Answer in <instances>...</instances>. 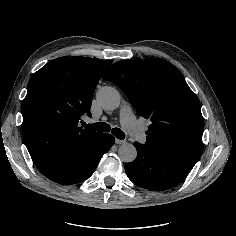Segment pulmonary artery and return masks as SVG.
<instances>
[{"label":"pulmonary artery","mask_w":236,"mask_h":236,"mask_svg":"<svg viewBox=\"0 0 236 236\" xmlns=\"http://www.w3.org/2000/svg\"><path fill=\"white\" fill-rule=\"evenodd\" d=\"M120 115L123 127L131 134L133 140L135 142H142L144 140V132L139 124L134 121V116L131 114V108L129 106H122L120 108ZM143 143H145V140Z\"/></svg>","instance_id":"e3ab8cb5"}]
</instances>
